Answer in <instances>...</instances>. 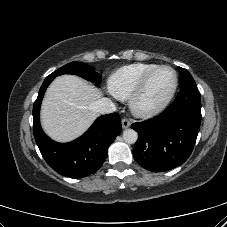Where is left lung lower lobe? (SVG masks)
Here are the masks:
<instances>
[{
    "instance_id": "0a47b994",
    "label": "left lung lower lobe",
    "mask_w": 227,
    "mask_h": 227,
    "mask_svg": "<svg viewBox=\"0 0 227 227\" xmlns=\"http://www.w3.org/2000/svg\"><path fill=\"white\" fill-rule=\"evenodd\" d=\"M201 123L200 92L196 83L180 88L174 102L160 115L132 124L138 133L133 155L145 169L164 172L190 156Z\"/></svg>"
}]
</instances>
